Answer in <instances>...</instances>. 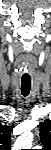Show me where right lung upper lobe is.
Masks as SVG:
<instances>
[{
  "mask_svg": "<svg viewBox=\"0 0 51 150\" xmlns=\"http://www.w3.org/2000/svg\"><path fill=\"white\" fill-rule=\"evenodd\" d=\"M10 134L11 129L6 125L0 124V149L1 150H10Z\"/></svg>",
  "mask_w": 51,
  "mask_h": 150,
  "instance_id": "cb5924a9",
  "label": "right lung upper lobe"
}]
</instances>
